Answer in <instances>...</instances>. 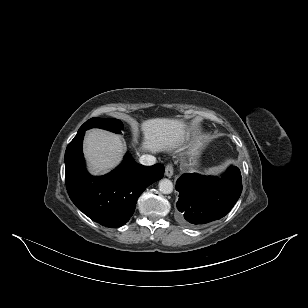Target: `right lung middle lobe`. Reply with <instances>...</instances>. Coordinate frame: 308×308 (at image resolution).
I'll return each mask as SVG.
<instances>
[{"mask_svg":"<svg viewBox=\"0 0 308 308\" xmlns=\"http://www.w3.org/2000/svg\"><path fill=\"white\" fill-rule=\"evenodd\" d=\"M102 128L111 132L121 133L124 129L123 123L117 119H102V118H91L86 121L79 130H87L90 128Z\"/></svg>","mask_w":308,"mask_h":308,"instance_id":"right-lung-middle-lobe-1","label":"right lung middle lobe"}]
</instances>
